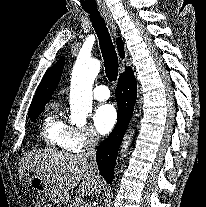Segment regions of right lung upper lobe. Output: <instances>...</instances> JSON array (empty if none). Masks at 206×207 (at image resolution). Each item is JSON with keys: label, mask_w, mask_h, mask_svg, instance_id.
<instances>
[{"label": "right lung upper lobe", "mask_w": 206, "mask_h": 207, "mask_svg": "<svg viewBox=\"0 0 206 207\" xmlns=\"http://www.w3.org/2000/svg\"><path fill=\"white\" fill-rule=\"evenodd\" d=\"M117 47L120 56L124 58L123 42L121 39H117ZM64 61L65 58L62 57L53 67H51L46 72L45 76L43 77L37 88V91L30 105V109L44 105L48 103L49 100L52 98V94L56 89L61 78V74L64 67ZM129 68L130 67H126V69Z\"/></svg>", "instance_id": "1"}]
</instances>
